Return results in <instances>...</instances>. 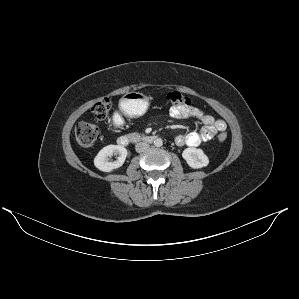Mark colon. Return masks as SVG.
<instances>
[{
  "label": "colon",
  "instance_id": "1",
  "mask_svg": "<svg viewBox=\"0 0 299 299\" xmlns=\"http://www.w3.org/2000/svg\"><path fill=\"white\" fill-rule=\"evenodd\" d=\"M166 104L170 107L186 106L189 104V98L178 92L169 91L165 95ZM110 110V101L107 98L96 102L92 107V113L97 119H104L107 117ZM100 135L98 126L94 123L83 122L79 123L75 128V139L80 146H91L96 142ZM219 141L223 142L227 139V134L221 132L218 135Z\"/></svg>",
  "mask_w": 299,
  "mask_h": 299
}]
</instances>
